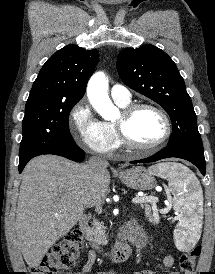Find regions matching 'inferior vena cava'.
I'll list each match as a JSON object with an SVG mask.
<instances>
[{
	"label": "inferior vena cava",
	"mask_w": 215,
	"mask_h": 274,
	"mask_svg": "<svg viewBox=\"0 0 215 274\" xmlns=\"http://www.w3.org/2000/svg\"><path fill=\"white\" fill-rule=\"evenodd\" d=\"M108 166V161L104 158L92 156L90 157L87 167L90 172L98 173Z\"/></svg>",
	"instance_id": "1"
}]
</instances>
